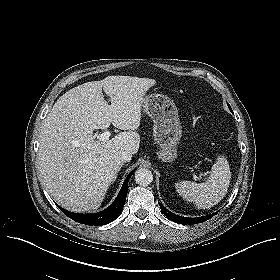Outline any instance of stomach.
I'll use <instances>...</instances> for the list:
<instances>
[{
	"label": "stomach",
	"instance_id": "1",
	"mask_svg": "<svg viewBox=\"0 0 280 280\" xmlns=\"http://www.w3.org/2000/svg\"><path fill=\"white\" fill-rule=\"evenodd\" d=\"M142 107L154 122L153 136L159 146L158 158L163 162L173 161L177 157V145L182 136L175 103L167 96L151 94L144 98Z\"/></svg>",
	"mask_w": 280,
	"mask_h": 280
}]
</instances>
